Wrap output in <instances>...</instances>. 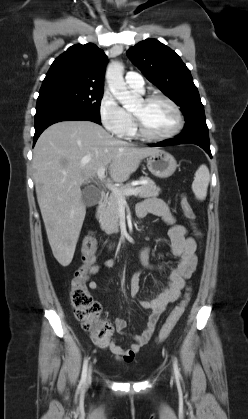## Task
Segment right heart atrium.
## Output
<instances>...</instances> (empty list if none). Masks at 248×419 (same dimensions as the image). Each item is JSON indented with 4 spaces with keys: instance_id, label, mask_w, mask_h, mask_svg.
<instances>
[{
    "instance_id": "right-heart-atrium-1",
    "label": "right heart atrium",
    "mask_w": 248,
    "mask_h": 419,
    "mask_svg": "<svg viewBox=\"0 0 248 419\" xmlns=\"http://www.w3.org/2000/svg\"><path fill=\"white\" fill-rule=\"evenodd\" d=\"M103 126L117 137H124L131 122L130 114L122 108L110 92H104L99 103Z\"/></svg>"
}]
</instances>
